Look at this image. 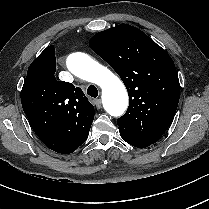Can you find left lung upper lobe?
Here are the masks:
<instances>
[{
	"mask_svg": "<svg viewBox=\"0 0 209 209\" xmlns=\"http://www.w3.org/2000/svg\"><path fill=\"white\" fill-rule=\"evenodd\" d=\"M89 45L127 88L129 107L117 120L119 131L144 143H155L170 126L179 102L180 84L171 57L128 24L97 33Z\"/></svg>",
	"mask_w": 209,
	"mask_h": 209,
	"instance_id": "obj_1",
	"label": "left lung upper lobe"
}]
</instances>
